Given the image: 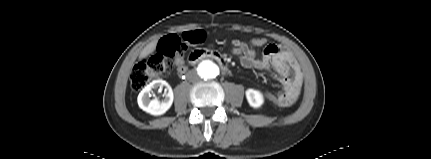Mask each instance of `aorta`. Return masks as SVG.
Wrapping results in <instances>:
<instances>
[{
    "mask_svg": "<svg viewBox=\"0 0 431 159\" xmlns=\"http://www.w3.org/2000/svg\"><path fill=\"white\" fill-rule=\"evenodd\" d=\"M197 71L199 77L206 81L213 80L220 74L218 65L211 60L201 62Z\"/></svg>",
    "mask_w": 431,
    "mask_h": 159,
    "instance_id": "762f6f07",
    "label": "aorta"
}]
</instances>
